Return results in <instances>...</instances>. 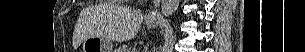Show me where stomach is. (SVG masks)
<instances>
[{"instance_id":"0dacf381","label":"stomach","mask_w":305,"mask_h":52,"mask_svg":"<svg viewBox=\"0 0 305 52\" xmlns=\"http://www.w3.org/2000/svg\"><path fill=\"white\" fill-rule=\"evenodd\" d=\"M150 26H156L157 21L149 22ZM82 52H113L111 40L100 36H90L83 40Z\"/></svg>"}]
</instances>
